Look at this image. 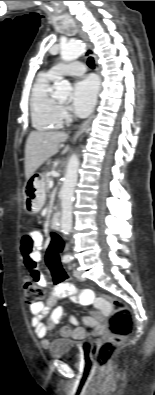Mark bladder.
Here are the masks:
<instances>
[{
  "mask_svg": "<svg viewBox=\"0 0 155 395\" xmlns=\"http://www.w3.org/2000/svg\"><path fill=\"white\" fill-rule=\"evenodd\" d=\"M50 354L54 358H66L79 362L84 357V346L78 341L60 338L52 342Z\"/></svg>",
  "mask_w": 155,
  "mask_h": 395,
  "instance_id": "obj_1",
  "label": "bladder"
}]
</instances>
